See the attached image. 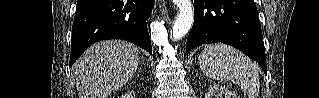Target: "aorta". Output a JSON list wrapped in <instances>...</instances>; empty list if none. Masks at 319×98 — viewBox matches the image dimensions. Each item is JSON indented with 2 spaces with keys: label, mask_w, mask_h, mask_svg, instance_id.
I'll return each mask as SVG.
<instances>
[{
  "label": "aorta",
  "mask_w": 319,
  "mask_h": 98,
  "mask_svg": "<svg viewBox=\"0 0 319 98\" xmlns=\"http://www.w3.org/2000/svg\"><path fill=\"white\" fill-rule=\"evenodd\" d=\"M173 2L179 9L171 32V38L176 41L185 36L191 29L194 11L190 0H173Z\"/></svg>",
  "instance_id": "1"
}]
</instances>
